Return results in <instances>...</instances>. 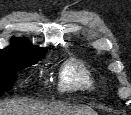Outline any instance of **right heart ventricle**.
<instances>
[{"mask_svg":"<svg viewBox=\"0 0 131 115\" xmlns=\"http://www.w3.org/2000/svg\"><path fill=\"white\" fill-rule=\"evenodd\" d=\"M98 87L93 71L76 58L67 59L59 73V89L62 92H93Z\"/></svg>","mask_w":131,"mask_h":115,"instance_id":"e07e8e85","label":"right heart ventricle"}]
</instances>
